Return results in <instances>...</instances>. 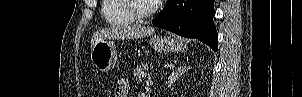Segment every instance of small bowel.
<instances>
[{
	"instance_id": "small-bowel-1",
	"label": "small bowel",
	"mask_w": 302,
	"mask_h": 97,
	"mask_svg": "<svg viewBox=\"0 0 302 97\" xmlns=\"http://www.w3.org/2000/svg\"><path fill=\"white\" fill-rule=\"evenodd\" d=\"M129 92V83L126 79L118 82L115 89V97H127Z\"/></svg>"
}]
</instances>
